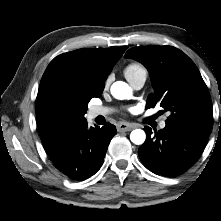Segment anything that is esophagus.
I'll list each match as a JSON object with an SVG mask.
<instances>
[{"mask_svg":"<svg viewBox=\"0 0 221 221\" xmlns=\"http://www.w3.org/2000/svg\"><path fill=\"white\" fill-rule=\"evenodd\" d=\"M134 127V125L128 124V123H118L117 124V130L119 132H127V131H131Z\"/></svg>","mask_w":221,"mask_h":221,"instance_id":"esophagus-1","label":"esophagus"}]
</instances>
